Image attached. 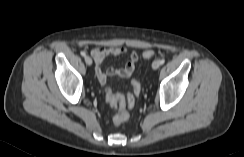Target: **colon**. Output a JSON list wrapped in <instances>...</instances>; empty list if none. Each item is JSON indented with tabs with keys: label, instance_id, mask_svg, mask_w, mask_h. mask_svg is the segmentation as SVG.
<instances>
[{
	"label": "colon",
	"instance_id": "5ec220e1",
	"mask_svg": "<svg viewBox=\"0 0 244 157\" xmlns=\"http://www.w3.org/2000/svg\"><path fill=\"white\" fill-rule=\"evenodd\" d=\"M144 59H150L154 56L153 50H145L142 54ZM133 93L126 96L116 94L111 88L107 87L105 90V97L107 103L114 108L117 112L113 117L115 125H121L128 120V109L135 105L136 98L140 93L141 87L137 80L132 81Z\"/></svg>",
	"mask_w": 244,
	"mask_h": 157
}]
</instances>
